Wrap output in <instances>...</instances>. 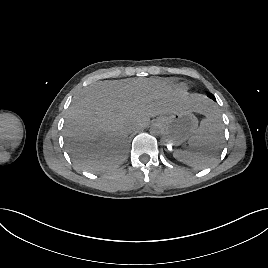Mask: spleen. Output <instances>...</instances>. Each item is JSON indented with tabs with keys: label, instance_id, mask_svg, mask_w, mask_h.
Segmentation results:
<instances>
[{
	"label": "spleen",
	"instance_id": "1",
	"mask_svg": "<svg viewBox=\"0 0 268 268\" xmlns=\"http://www.w3.org/2000/svg\"><path fill=\"white\" fill-rule=\"evenodd\" d=\"M223 126L215 111L208 112L189 140L190 150H176L173 156L180 162L196 169H204L214 162L221 145Z\"/></svg>",
	"mask_w": 268,
	"mask_h": 268
}]
</instances>
